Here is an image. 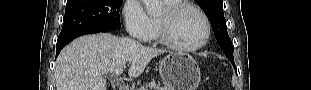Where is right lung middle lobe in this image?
<instances>
[{
	"mask_svg": "<svg viewBox=\"0 0 311 90\" xmlns=\"http://www.w3.org/2000/svg\"><path fill=\"white\" fill-rule=\"evenodd\" d=\"M123 0H67L64 24L57 41L82 31L120 28Z\"/></svg>",
	"mask_w": 311,
	"mask_h": 90,
	"instance_id": "obj_1",
	"label": "right lung middle lobe"
}]
</instances>
